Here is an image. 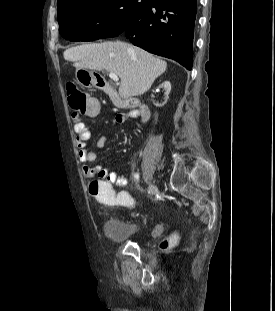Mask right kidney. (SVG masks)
Here are the masks:
<instances>
[{
    "instance_id": "ca27d5eb",
    "label": "right kidney",
    "mask_w": 275,
    "mask_h": 311,
    "mask_svg": "<svg viewBox=\"0 0 275 311\" xmlns=\"http://www.w3.org/2000/svg\"><path fill=\"white\" fill-rule=\"evenodd\" d=\"M171 90L170 81L163 82L159 87H154L152 91V96L155 97L153 102L156 105V108H165V105H169L168 95Z\"/></svg>"
}]
</instances>
